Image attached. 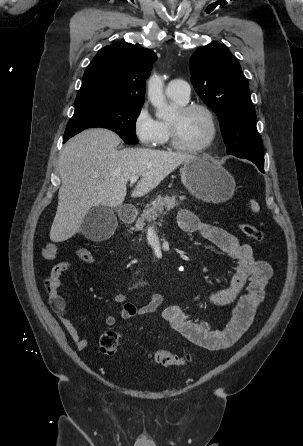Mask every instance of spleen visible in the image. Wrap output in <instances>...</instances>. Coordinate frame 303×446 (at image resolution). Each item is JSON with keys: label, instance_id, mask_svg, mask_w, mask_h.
Listing matches in <instances>:
<instances>
[{"label": "spleen", "instance_id": "spleen-1", "mask_svg": "<svg viewBox=\"0 0 303 446\" xmlns=\"http://www.w3.org/2000/svg\"><path fill=\"white\" fill-rule=\"evenodd\" d=\"M250 204H251L252 211L259 212L260 207H259L258 203L255 200H250Z\"/></svg>", "mask_w": 303, "mask_h": 446}]
</instances>
